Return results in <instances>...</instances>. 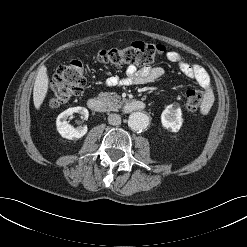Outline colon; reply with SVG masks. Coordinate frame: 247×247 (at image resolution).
<instances>
[{
  "mask_svg": "<svg viewBox=\"0 0 247 247\" xmlns=\"http://www.w3.org/2000/svg\"><path fill=\"white\" fill-rule=\"evenodd\" d=\"M161 44L134 42L125 48L102 50L97 54L100 63L121 67L124 65H148L165 53ZM87 78L84 65L79 60L60 65L52 79L50 87V104L58 106L79 96L85 86ZM202 93L197 89H188L185 93V109L195 112L202 103Z\"/></svg>",
  "mask_w": 247,
  "mask_h": 247,
  "instance_id": "1",
  "label": "colon"
}]
</instances>
